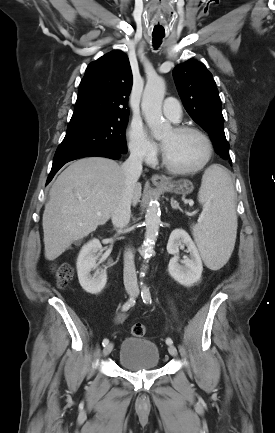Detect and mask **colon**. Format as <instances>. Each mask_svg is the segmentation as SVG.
Wrapping results in <instances>:
<instances>
[{"label": "colon", "instance_id": "colon-1", "mask_svg": "<svg viewBox=\"0 0 275 433\" xmlns=\"http://www.w3.org/2000/svg\"><path fill=\"white\" fill-rule=\"evenodd\" d=\"M54 275L59 287H65L73 276V269L67 263L59 264L54 269ZM131 332L135 337H143L146 333V328L141 323H135L132 326Z\"/></svg>", "mask_w": 275, "mask_h": 433}]
</instances>
